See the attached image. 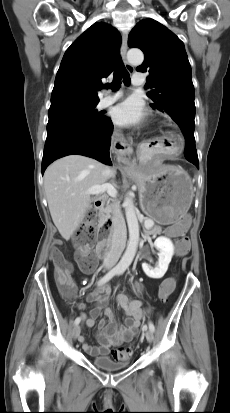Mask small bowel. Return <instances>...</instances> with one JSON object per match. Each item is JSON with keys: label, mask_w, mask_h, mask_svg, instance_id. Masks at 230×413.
I'll use <instances>...</instances> for the list:
<instances>
[{"label": "small bowel", "mask_w": 230, "mask_h": 413, "mask_svg": "<svg viewBox=\"0 0 230 413\" xmlns=\"http://www.w3.org/2000/svg\"><path fill=\"white\" fill-rule=\"evenodd\" d=\"M166 232L167 235L171 237L182 233V231L175 225L169 227ZM187 249L188 248H186V251ZM91 270H88L87 272H90ZM136 287L138 290L142 289L140 284H136ZM110 294V287L102 284L91 291L87 296V301L92 303L93 307L88 315L85 313L81 314L84 324L87 327H92L102 311L109 319V323L106 325L104 320H99L98 332L96 335L98 341L97 346L89 345L82 335L79 336V342L82 344L83 350L92 357L110 354L115 359L123 361L128 359L130 354L123 352V350L128 347L122 346L132 341L137 334L144 317V310L141 301L132 300L125 294H119L116 297V302L124 310L127 318L124 324H118L115 320L114 311L108 307ZM78 308L83 310L84 305L79 304Z\"/></svg>", "instance_id": "1"}]
</instances>
